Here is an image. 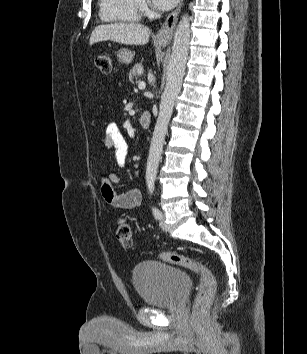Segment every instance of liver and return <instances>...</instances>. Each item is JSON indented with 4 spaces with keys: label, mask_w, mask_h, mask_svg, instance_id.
<instances>
[{
    "label": "liver",
    "mask_w": 307,
    "mask_h": 354,
    "mask_svg": "<svg viewBox=\"0 0 307 354\" xmlns=\"http://www.w3.org/2000/svg\"><path fill=\"white\" fill-rule=\"evenodd\" d=\"M151 31L138 23H113L97 26L90 37V45L102 41H114L125 45H145Z\"/></svg>",
    "instance_id": "liver-1"
}]
</instances>
